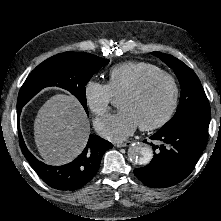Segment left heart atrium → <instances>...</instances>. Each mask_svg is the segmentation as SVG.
Wrapping results in <instances>:
<instances>
[{"mask_svg": "<svg viewBox=\"0 0 221 221\" xmlns=\"http://www.w3.org/2000/svg\"><path fill=\"white\" fill-rule=\"evenodd\" d=\"M96 126L104 137L113 141H122L137 129L139 123L130 111L120 110L97 121Z\"/></svg>", "mask_w": 221, "mask_h": 221, "instance_id": "1", "label": "left heart atrium"}]
</instances>
